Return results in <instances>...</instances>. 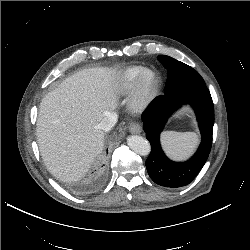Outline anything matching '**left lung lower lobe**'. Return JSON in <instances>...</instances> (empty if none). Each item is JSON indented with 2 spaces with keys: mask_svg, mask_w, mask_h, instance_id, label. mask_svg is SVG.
Wrapping results in <instances>:
<instances>
[{
  "mask_svg": "<svg viewBox=\"0 0 250 250\" xmlns=\"http://www.w3.org/2000/svg\"><path fill=\"white\" fill-rule=\"evenodd\" d=\"M183 104H190L194 108L202 140L189 160L174 162L161 148L160 133L167 119ZM142 121L146 138L151 144V152L146 160L151 179L158 185L170 188L188 185L206 163L212 146L214 108L205 84L158 96L142 114Z\"/></svg>",
  "mask_w": 250,
  "mask_h": 250,
  "instance_id": "0a47b994",
  "label": "left lung lower lobe"
}]
</instances>
